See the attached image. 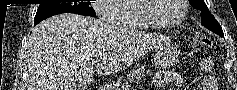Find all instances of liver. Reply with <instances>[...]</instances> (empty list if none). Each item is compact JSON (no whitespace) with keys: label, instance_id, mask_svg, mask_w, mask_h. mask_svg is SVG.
Here are the masks:
<instances>
[{"label":"liver","instance_id":"1","mask_svg":"<svg viewBox=\"0 0 237 90\" xmlns=\"http://www.w3.org/2000/svg\"><path fill=\"white\" fill-rule=\"evenodd\" d=\"M158 42L160 36L118 22L58 14L43 20L28 38V90H85L94 72L110 76L128 68Z\"/></svg>","mask_w":237,"mask_h":90}]
</instances>
